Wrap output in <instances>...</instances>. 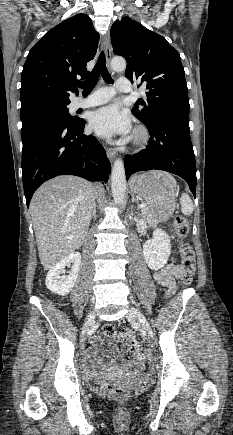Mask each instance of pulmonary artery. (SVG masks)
<instances>
[{"label": "pulmonary artery", "instance_id": "1", "mask_svg": "<svg viewBox=\"0 0 233 435\" xmlns=\"http://www.w3.org/2000/svg\"><path fill=\"white\" fill-rule=\"evenodd\" d=\"M116 89L118 92L127 93L131 91V83L129 79L120 78L118 79ZM114 96V92L112 89L104 87L92 93L90 96L86 98L77 97L72 104V107L75 109L78 108H87L92 106H97L100 104H104L112 99Z\"/></svg>", "mask_w": 233, "mask_h": 435}]
</instances>
